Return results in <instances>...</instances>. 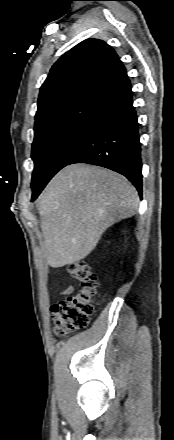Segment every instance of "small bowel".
I'll use <instances>...</instances> for the list:
<instances>
[{
  "label": "small bowel",
  "instance_id": "1",
  "mask_svg": "<svg viewBox=\"0 0 174 440\" xmlns=\"http://www.w3.org/2000/svg\"><path fill=\"white\" fill-rule=\"evenodd\" d=\"M74 287L73 286H69L65 291H63V295H69L73 292Z\"/></svg>",
  "mask_w": 174,
  "mask_h": 440
}]
</instances>
